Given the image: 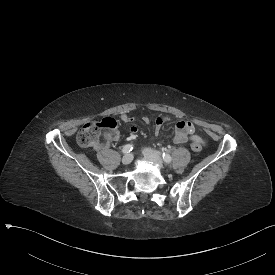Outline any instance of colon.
I'll return each mask as SVG.
<instances>
[{
    "label": "colon",
    "instance_id": "colon-1",
    "mask_svg": "<svg viewBox=\"0 0 275 275\" xmlns=\"http://www.w3.org/2000/svg\"><path fill=\"white\" fill-rule=\"evenodd\" d=\"M119 137L116 121L105 118L100 121L86 122L77 134V143L80 147H99L101 143L110 144ZM195 152H200L204 144L195 141L191 144Z\"/></svg>",
    "mask_w": 275,
    "mask_h": 275
}]
</instances>
